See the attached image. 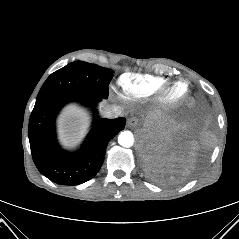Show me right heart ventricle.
<instances>
[{
    "mask_svg": "<svg viewBox=\"0 0 239 239\" xmlns=\"http://www.w3.org/2000/svg\"><path fill=\"white\" fill-rule=\"evenodd\" d=\"M169 84L163 77L127 72L120 76L118 85L125 97L141 99L158 93Z\"/></svg>",
    "mask_w": 239,
    "mask_h": 239,
    "instance_id": "right-heart-ventricle-1",
    "label": "right heart ventricle"
}]
</instances>
